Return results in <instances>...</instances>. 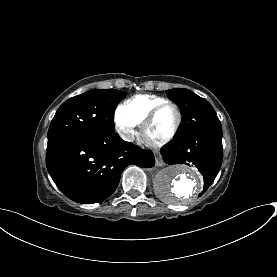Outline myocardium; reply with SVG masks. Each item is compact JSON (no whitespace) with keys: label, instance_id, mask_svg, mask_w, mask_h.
<instances>
[{"label":"myocardium","instance_id":"1","mask_svg":"<svg viewBox=\"0 0 277 277\" xmlns=\"http://www.w3.org/2000/svg\"><path fill=\"white\" fill-rule=\"evenodd\" d=\"M172 106L175 108L176 110V114H177V121L176 124L174 126V128L172 129V131L170 132L169 135H167L165 138L158 140V141H150V144L153 146H161L164 145L168 142H170L178 133L181 124H182V120H183V115H182V111L180 109V107L171 101H166L163 102L157 106H155L151 112L148 114V116L146 117V119L143 121L142 126H141V134L143 137L146 138L145 134L146 131L151 127V125L155 122V120L157 119L159 113L166 107Z\"/></svg>","mask_w":277,"mask_h":277}]
</instances>
